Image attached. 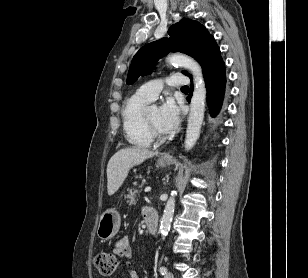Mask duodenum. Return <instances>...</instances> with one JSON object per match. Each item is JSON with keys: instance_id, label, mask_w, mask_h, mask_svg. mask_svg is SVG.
<instances>
[{"instance_id": "410a0bca", "label": "duodenum", "mask_w": 308, "mask_h": 278, "mask_svg": "<svg viewBox=\"0 0 308 278\" xmlns=\"http://www.w3.org/2000/svg\"><path fill=\"white\" fill-rule=\"evenodd\" d=\"M144 216L147 222V227L149 232L152 235H156L158 231V219L155 212L150 209L144 213Z\"/></svg>"}]
</instances>
